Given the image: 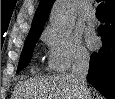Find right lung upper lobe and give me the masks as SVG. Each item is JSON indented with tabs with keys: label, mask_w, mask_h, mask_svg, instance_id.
Here are the masks:
<instances>
[{
	"label": "right lung upper lobe",
	"mask_w": 115,
	"mask_h": 99,
	"mask_svg": "<svg viewBox=\"0 0 115 99\" xmlns=\"http://www.w3.org/2000/svg\"><path fill=\"white\" fill-rule=\"evenodd\" d=\"M54 0H40L34 15L29 35L41 34ZM115 7V0H105L104 12Z\"/></svg>",
	"instance_id": "1"
}]
</instances>
